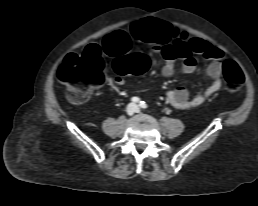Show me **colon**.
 <instances>
[{
    "mask_svg": "<svg viewBox=\"0 0 258 206\" xmlns=\"http://www.w3.org/2000/svg\"><path fill=\"white\" fill-rule=\"evenodd\" d=\"M115 67L122 75H141L148 70L149 59L142 54H131L119 57L115 61ZM222 74L227 89L231 92L239 90L244 82L241 69L231 60L223 63ZM57 78L66 87L67 97L72 103L85 102L94 89L101 86L105 80L104 62L100 50L89 47L81 55H69L59 67Z\"/></svg>",
    "mask_w": 258,
    "mask_h": 206,
    "instance_id": "5ec220e1",
    "label": "colon"
}]
</instances>
